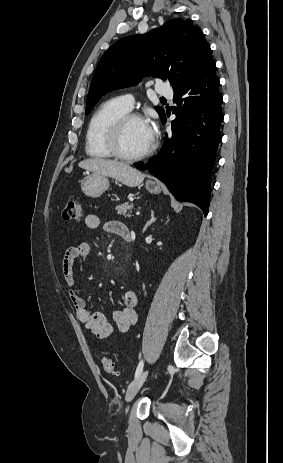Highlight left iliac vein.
I'll return each instance as SVG.
<instances>
[{
    "mask_svg": "<svg viewBox=\"0 0 283 463\" xmlns=\"http://www.w3.org/2000/svg\"><path fill=\"white\" fill-rule=\"evenodd\" d=\"M147 376H148V370H144L143 372H141V374L137 378H135L130 383V385L128 386L127 392H126V396H125L126 402H130L135 397V395L138 393V391L144 384Z\"/></svg>",
    "mask_w": 283,
    "mask_h": 463,
    "instance_id": "4c4485c4",
    "label": "left iliac vein"
}]
</instances>
